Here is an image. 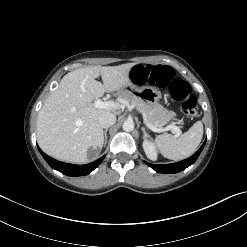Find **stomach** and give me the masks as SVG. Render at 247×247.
<instances>
[{
	"mask_svg": "<svg viewBox=\"0 0 247 247\" xmlns=\"http://www.w3.org/2000/svg\"><path fill=\"white\" fill-rule=\"evenodd\" d=\"M123 95L131 98H139L151 105L158 104L162 98V93L158 89L153 87H136L133 83H129L125 87Z\"/></svg>",
	"mask_w": 247,
	"mask_h": 247,
	"instance_id": "stomach-1",
	"label": "stomach"
}]
</instances>
